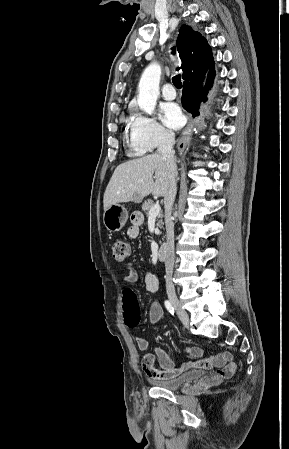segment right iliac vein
<instances>
[{"instance_id":"obj_1","label":"right iliac vein","mask_w":289,"mask_h":449,"mask_svg":"<svg viewBox=\"0 0 289 449\" xmlns=\"http://www.w3.org/2000/svg\"><path fill=\"white\" fill-rule=\"evenodd\" d=\"M169 299H170L171 304L175 308L177 315L179 316L182 323L184 325H188L189 324V316H188L187 312L182 308L176 295L173 293H169Z\"/></svg>"}]
</instances>
